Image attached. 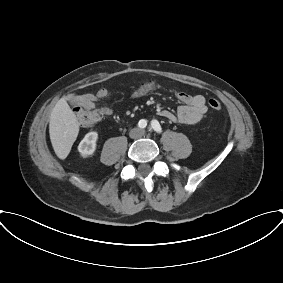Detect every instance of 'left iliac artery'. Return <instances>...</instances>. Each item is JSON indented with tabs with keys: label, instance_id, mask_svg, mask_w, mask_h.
I'll return each instance as SVG.
<instances>
[{
	"label": "left iliac artery",
	"instance_id": "1",
	"mask_svg": "<svg viewBox=\"0 0 283 283\" xmlns=\"http://www.w3.org/2000/svg\"><path fill=\"white\" fill-rule=\"evenodd\" d=\"M151 126H152L153 130L156 131L157 133L162 132V128H161V126H160V124L157 120H152Z\"/></svg>",
	"mask_w": 283,
	"mask_h": 283
}]
</instances>
